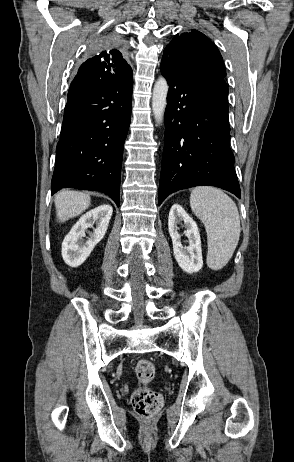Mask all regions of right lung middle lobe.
Masks as SVG:
<instances>
[{"mask_svg":"<svg viewBox=\"0 0 294 462\" xmlns=\"http://www.w3.org/2000/svg\"><path fill=\"white\" fill-rule=\"evenodd\" d=\"M121 38L113 32H107L97 38L90 46L89 53L94 55L96 52L113 47H121Z\"/></svg>","mask_w":294,"mask_h":462,"instance_id":"obj_1","label":"right lung middle lobe"}]
</instances>
